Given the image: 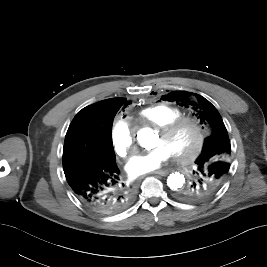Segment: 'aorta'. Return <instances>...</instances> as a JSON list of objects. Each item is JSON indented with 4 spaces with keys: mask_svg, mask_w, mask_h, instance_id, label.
I'll list each match as a JSON object with an SVG mask.
<instances>
[{
    "mask_svg": "<svg viewBox=\"0 0 267 267\" xmlns=\"http://www.w3.org/2000/svg\"><path fill=\"white\" fill-rule=\"evenodd\" d=\"M156 139L157 135L150 128H142L137 132V140L144 148H153ZM184 184L185 177L179 172L171 173L167 178V185L173 191L180 190Z\"/></svg>",
    "mask_w": 267,
    "mask_h": 267,
    "instance_id": "1",
    "label": "aorta"
}]
</instances>
